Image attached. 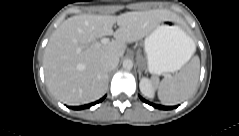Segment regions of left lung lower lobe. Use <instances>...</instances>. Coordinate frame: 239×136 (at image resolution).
I'll return each instance as SVG.
<instances>
[{
  "instance_id": "obj_1",
  "label": "left lung lower lobe",
  "mask_w": 239,
  "mask_h": 136,
  "mask_svg": "<svg viewBox=\"0 0 239 136\" xmlns=\"http://www.w3.org/2000/svg\"><path fill=\"white\" fill-rule=\"evenodd\" d=\"M139 97L143 102L153 106L154 108L163 109V110H171V109H174L177 107V106H162V105L153 104V103L148 102L147 100L143 99L141 96H139Z\"/></svg>"
}]
</instances>
